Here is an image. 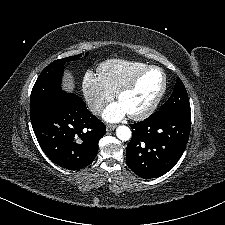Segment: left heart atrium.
Segmentation results:
<instances>
[{"label": "left heart atrium", "mask_w": 225, "mask_h": 225, "mask_svg": "<svg viewBox=\"0 0 225 225\" xmlns=\"http://www.w3.org/2000/svg\"><path fill=\"white\" fill-rule=\"evenodd\" d=\"M125 115H127V112L122 107V105L118 103L110 104L106 107L103 113V117L108 122H116L121 120Z\"/></svg>", "instance_id": "39dd6f15"}]
</instances>
